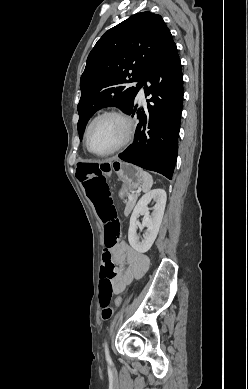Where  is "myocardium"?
Wrapping results in <instances>:
<instances>
[{"mask_svg": "<svg viewBox=\"0 0 248 389\" xmlns=\"http://www.w3.org/2000/svg\"><path fill=\"white\" fill-rule=\"evenodd\" d=\"M105 117H114V118L119 119L124 125L125 133H124L122 140L113 148H111L107 151H104V152H96V151L92 150L89 146L90 131H91L92 126L97 121H99L100 119L105 118ZM134 133H135L134 123H133L132 119L126 113H124L120 110H116V109L106 110V111H103L102 113H99L98 115H96L87 125L86 131H85V137H84L85 146L90 153H92L96 156H100V157L109 156V155H112V154L118 152L119 150L123 149L124 147H126L132 141V139L134 137Z\"/></svg>", "mask_w": 248, "mask_h": 389, "instance_id": "obj_1", "label": "myocardium"}]
</instances>
